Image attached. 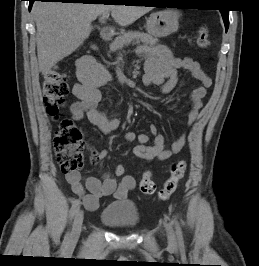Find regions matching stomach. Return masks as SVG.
<instances>
[{
    "label": "stomach",
    "instance_id": "stomach-1",
    "mask_svg": "<svg viewBox=\"0 0 259 266\" xmlns=\"http://www.w3.org/2000/svg\"><path fill=\"white\" fill-rule=\"evenodd\" d=\"M179 13L172 10H164L152 13L147 20L146 30L155 38L167 37L178 30Z\"/></svg>",
    "mask_w": 259,
    "mask_h": 266
}]
</instances>
